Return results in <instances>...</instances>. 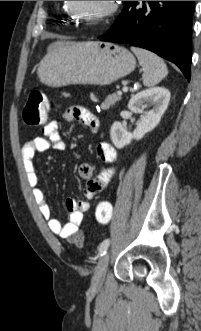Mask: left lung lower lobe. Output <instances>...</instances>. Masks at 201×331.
Here are the masks:
<instances>
[{"instance_id": "1", "label": "left lung lower lobe", "mask_w": 201, "mask_h": 331, "mask_svg": "<svg viewBox=\"0 0 201 331\" xmlns=\"http://www.w3.org/2000/svg\"><path fill=\"white\" fill-rule=\"evenodd\" d=\"M111 29L99 39L148 49L176 64L190 80L195 1H124Z\"/></svg>"}]
</instances>
